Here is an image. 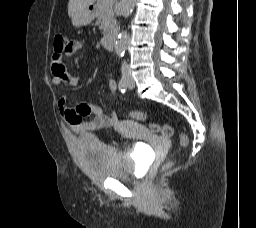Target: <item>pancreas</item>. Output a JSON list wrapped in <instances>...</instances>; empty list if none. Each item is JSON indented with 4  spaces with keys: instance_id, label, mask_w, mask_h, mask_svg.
Returning a JSON list of instances; mask_svg holds the SVG:
<instances>
[{
    "instance_id": "1",
    "label": "pancreas",
    "mask_w": 256,
    "mask_h": 228,
    "mask_svg": "<svg viewBox=\"0 0 256 228\" xmlns=\"http://www.w3.org/2000/svg\"><path fill=\"white\" fill-rule=\"evenodd\" d=\"M114 1L107 2V0H97L96 4V18L100 23L99 29L105 34L112 30L116 24L113 4Z\"/></svg>"
}]
</instances>
